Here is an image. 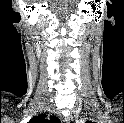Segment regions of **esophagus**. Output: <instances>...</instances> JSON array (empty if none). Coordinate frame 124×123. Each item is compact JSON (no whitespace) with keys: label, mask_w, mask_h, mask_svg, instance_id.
Wrapping results in <instances>:
<instances>
[{"label":"esophagus","mask_w":124,"mask_h":123,"mask_svg":"<svg viewBox=\"0 0 124 123\" xmlns=\"http://www.w3.org/2000/svg\"><path fill=\"white\" fill-rule=\"evenodd\" d=\"M65 121H66L67 123H74V119H73L71 116H68V117L65 119Z\"/></svg>","instance_id":"34e87169"}]
</instances>
